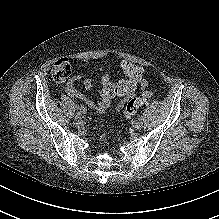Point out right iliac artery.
Segmentation results:
<instances>
[{
  "mask_svg": "<svg viewBox=\"0 0 219 219\" xmlns=\"http://www.w3.org/2000/svg\"><path fill=\"white\" fill-rule=\"evenodd\" d=\"M76 109L82 113H85V108L82 105H76Z\"/></svg>",
  "mask_w": 219,
  "mask_h": 219,
  "instance_id": "right-iliac-artery-1",
  "label": "right iliac artery"
}]
</instances>
